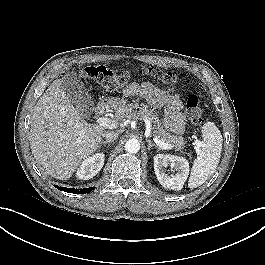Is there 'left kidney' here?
Listing matches in <instances>:
<instances>
[{
	"label": "left kidney",
	"mask_w": 265,
	"mask_h": 265,
	"mask_svg": "<svg viewBox=\"0 0 265 265\" xmlns=\"http://www.w3.org/2000/svg\"><path fill=\"white\" fill-rule=\"evenodd\" d=\"M170 166L176 171L168 176L165 168ZM154 170L159 183L167 189L181 190L189 174L188 161L179 156L157 154L154 156Z\"/></svg>",
	"instance_id": "1"
}]
</instances>
